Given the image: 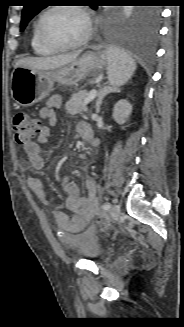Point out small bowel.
<instances>
[{
  "label": "small bowel",
  "mask_w": 184,
  "mask_h": 327,
  "mask_svg": "<svg viewBox=\"0 0 184 327\" xmlns=\"http://www.w3.org/2000/svg\"><path fill=\"white\" fill-rule=\"evenodd\" d=\"M61 104L62 100L59 96H52L48 99L46 106L40 109L38 116L40 119H47L49 125L41 127L36 140L24 146V151L28 156L30 164L36 171L41 170L44 166L40 150L42 146L47 144L48 138L53 132V126L57 120L54 109L60 107ZM83 127L87 129V140L96 144L97 142L93 138L91 129L85 123L78 124L76 128L78 134L82 135ZM84 186L87 195L81 196L75 183L67 178H62V190L66 197V206L69 214L62 210L54 209L53 215L58 226L66 232L77 233L82 231L94 217L95 212H98L95 181L93 179H86ZM30 187L39 201L44 204L50 203L49 193L39 179L32 178L30 180Z\"/></svg>",
  "instance_id": "c3829d8e"
}]
</instances>
